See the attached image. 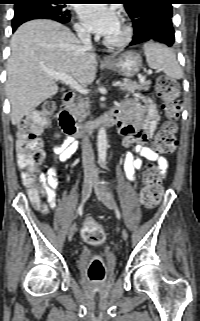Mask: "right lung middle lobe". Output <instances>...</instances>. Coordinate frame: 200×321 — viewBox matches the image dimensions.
I'll list each match as a JSON object with an SVG mask.
<instances>
[{
    "label": "right lung middle lobe",
    "instance_id": "obj_1",
    "mask_svg": "<svg viewBox=\"0 0 200 321\" xmlns=\"http://www.w3.org/2000/svg\"><path fill=\"white\" fill-rule=\"evenodd\" d=\"M69 0H25L15 5V10L23 8H44L55 12L58 15L70 16V11L66 8Z\"/></svg>",
    "mask_w": 200,
    "mask_h": 321
}]
</instances>
